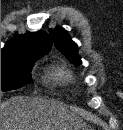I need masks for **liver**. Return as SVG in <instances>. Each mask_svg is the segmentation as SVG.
<instances>
[{"mask_svg": "<svg viewBox=\"0 0 123 130\" xmlns=\"http://www.w3.org/2000/svg\"><path fill=\"white\" fill-rule=\"evenodd\" d=\"M86 128L57 100L16 96L1 104V130H72Z\"/></svg>", "mask_w": 123, "mask_h": 130, "instance_id": "6515ba94", "label": "liver"}]
</instances>
